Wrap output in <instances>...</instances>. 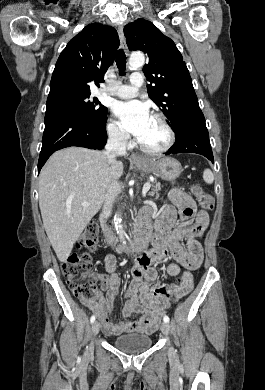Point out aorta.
<instances>
[{"instance_id":"762f6f07","label":"aorta","mask_w":265,"mask_h":390,"mask_svg":"<svg viewBox=\"0 0 265 390\" xmlns=\"http://www.w3.org/2000/svg\"><path fill=\"white\" fill-rule=\"evenodd\" d=\"M144 62H145V57L142 53H133L129 59V66L131 69H137V68L142 67L144 65ZM121 222H122V219L119 217V215H115L114 216L115 229L117 231V234L123 240V243H125Z\"/></svg>"}]
</instances>
